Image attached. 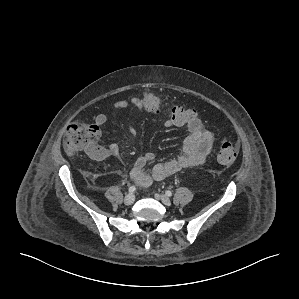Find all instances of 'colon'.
<instances>
[{"mask_svg":"<svg viewBox=\"0 0 299 299\" xmlns=\"http://www.w3.org/2000/svg\"><path fill=\"white\" fill-rule=\"evenodd\" d=\"M146 112L162 115L176 127L187 126L197 118V112L192 107L182 104H169L157 93L147 90L140 95ZM99 136L98 127L82 121L71 123L66 130L63 146L69 156H75L82 151L95 152L96 140ZM238 155V148L230 141L220 145L217 160L222 165L233 164Z\"/></svg>","mask_w":299,"mask_h":299,"instance_id":"obj_1","label":"colon"}]
</instances>
